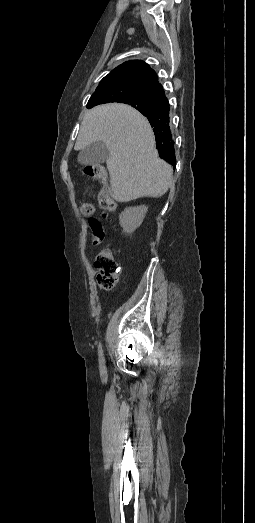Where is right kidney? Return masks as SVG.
<instances>
[{
  "label": "right kidney",
  "mask_w": 255,
  "mask_h": 523,
  "mask_svg": "<svg viewBox=\"0 0 255 523\" xmlns=\"http://www.w3.org/2000/svg\"><path fill=\"white\" fill-rule=\"evenodd\" d=\"M146 212V206L125 208L124 212L119 216L120 226L123 228V232H125V234H132V232H135L136 228L141 226Z\"/></svg>",
  "instance_id": "obj_1"
}]
</instances>
